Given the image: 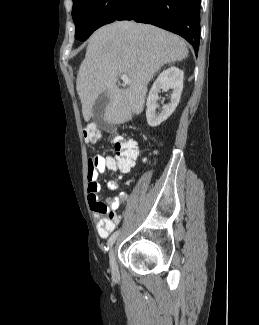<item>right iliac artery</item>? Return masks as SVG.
Masks as SVG:
<instances>
[{
	"instance_id": "obj_1",
	"label": "right iliac artery",
	"mask_w": 259,
	"mask_h": 325,
	"mask_svg": "<svg viewBox=\"0 0 259 325\" xmlns=\"http://www.w3.org/2000/svg\"><path fill=\"white\" fill-rule=\"evenodd\" d=\"M119 233H120V231L117 230L111 235V237L109 238L108 243H107L108 248L113 245V243L115 242V240L118 237Z\"/></svg>"
}]
</instances>
